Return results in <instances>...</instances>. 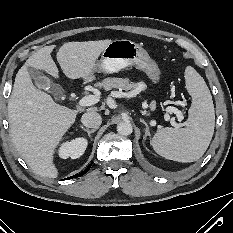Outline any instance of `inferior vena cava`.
Returning a JSON list of instances; mask_svg holds the SVG:
<instances>
[{"instance_id":"obj_1","label":"inferior vena cava","mask_w":233,"mask_h":233,"mask_svg":"<svg viewBox=\"0 0 233 233\" xmlns=\"http://www.w3.org/2000/svg\"><path fill=\"white\" fill-rule=\"evenodd\" d=\"M81 122L88 128L97 129L102 123V118L97 112L91 111L82 115Z\"/></svg>"}]
</instances>
